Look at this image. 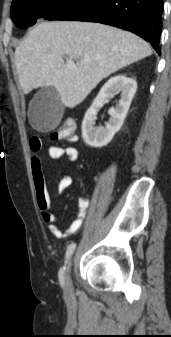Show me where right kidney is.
Segmentation results:
<instances>
[{
	"label": "right kidney",
	"instance_id": "right-kidney-1",
	"mask_svg": "<svg viewBox=\"0 0 171 337\" xmlns=\"http://www.w3.org/2000/svg\"><path fill=\"white\" fill-rule=\"evenodd\" d=\"M136 89V81L125 75L114 76L104 84L82 122V136L87 145L101 148L112 140L123 125ZM118 93H121L120 100L109 110L110 119L105 127H94L98 110Z\"/></svg>",
	"mask_w": 171,
	"mask_h": 337
}]
</instances>
